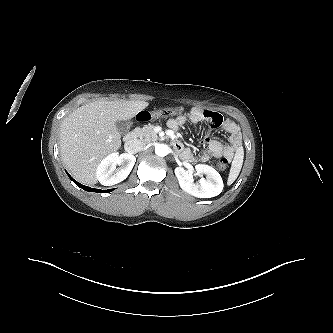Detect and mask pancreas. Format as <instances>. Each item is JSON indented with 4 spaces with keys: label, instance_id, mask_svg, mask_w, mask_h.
Returning <instances> with one entry per match:
<instances>
[{
    "label": "pancreas",
    "instance_id": "obj_1",
    "mask_svg": "<svg viewBox=\"0 0 333 333\" xmlns=\"http://www.w3.org/2000/svg\"><path fill=\"white\" fill-rule=\"evenodd\" d=\"M135 136L145 142H152L155 141L158 137L154 131V125H146L142 128L137 127L134 130Z\"/></svg>",
    "mask_w": 333,
    "mask_h": 333
}]
</instances>
